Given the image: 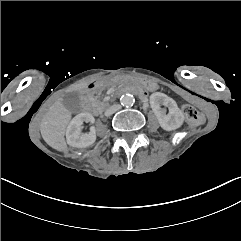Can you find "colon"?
I'll return each instance as SVG.
<instances>
[{"mask_svg": "<svg viewBox=\"0 0 241 241\" xmlns=\"http://www.w3.org/2000/svg\"><path fill=\"white\" fill-rule=\"evenodd\" d=\"M182 111L186 117V119L192 125H199L202 121L201 116L199 115L198 110L192 104H184L182 106Z\"/></svg>", "mask_w": 241, "mask_h": 241, "instance_id": "colon-1", "label": "colon"}]
</instances>
